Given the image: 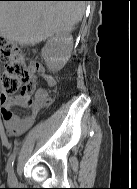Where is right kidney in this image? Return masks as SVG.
Returning <instances> with one entry per match:
<instances>
[{
	"mask_svg": "<svg viewBox=\"0 0 137 189\" xmlns=\"http://www.w3.org/2000/svg\"><path fill=\"white\" fill-rule=\"evenodd\" d=\"M73 37L69 32H60L48 39L42 49L48 69L52 72L61 70L71 56Z\"/></svg>",
	"mask_w": 137,
	"mask_h": 189,
	"instance_id": "1",
	"label": "right kidney"
}]
</instances>
